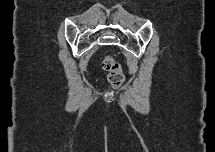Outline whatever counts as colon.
<instances>
[{"instance_id": "colon-1", "label": "colon", "mask_w": 215, "mask_h": 152, "mask_svg": "<svg viewBox=\"0 0 215 152\" xmlns=\"http://www.w3.org/2000/svg\"><path fill=\"white\" fill-rule=\"evenodd\" d=\"M102 68L108 72V82L114 89L121 87L125 80L121 66L109 55L103 57L101 61Z\"/></svg>"}]
</instances>
